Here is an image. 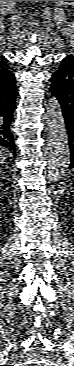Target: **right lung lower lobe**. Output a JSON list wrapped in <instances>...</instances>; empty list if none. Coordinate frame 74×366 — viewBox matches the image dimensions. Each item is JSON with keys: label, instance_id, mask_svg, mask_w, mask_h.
Instances as JSON below:
<instances>
[{"label": "right lung lower lobe", "instance_id": "obj_1", "mask_svg": "<svg viewBox=\"0 0 74 366\" xmlns=\"http://www.w3.org/2000/svg\"><path fill=\"white\" fill-rule=\"evenodd\" d=\"M16 107V85L12 73L10 80L0 81V147L9 149L15 155L16 146L10 126Z\"/></svg>", "mask_w": 74, "mask_h": 366}]
</instances>
